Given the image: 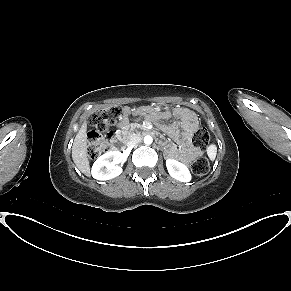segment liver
<instances>
[{
	"mask_svg": "<svg viewBox=\"0 0 291 291\" xmlns=\"http://www.w3.org/2000/svg\"><path fill=\"white\" fill-rule=\"evenodd\" d=\"M87 124L84 122L78 131L72 146V159L77 168L86 176H90V163L87 154Z\"/></svg>",
	"mask_w": 291,
	"mask_h": 291,
	"instance_id": "liver-1",
	"label": "liver"
}]
</instances>
